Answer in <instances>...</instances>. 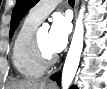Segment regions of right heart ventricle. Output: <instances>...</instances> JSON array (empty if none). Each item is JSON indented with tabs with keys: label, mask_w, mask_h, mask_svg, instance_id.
I'll use <instances>...</instances> for the list:
<instances>
[{
	"label": "right heart ventricle",
	"mask_w": 107,
	"mask_h": 89,
	"mask_svg": "<svg viewBox=\"0 0 107 89\" xmlns=\"http://www.w3.org/2000/svg\"><path fill=\"white\" fill-rule=\"evenodd\" d=\"M39 21L29 15L24 19L13 42L12 61L17 72L26 78H37L44 73L33 57L32 40Z\"/></svg>",
	"instance_id": "right-heart-ventricle-1"
}]
</instances>
